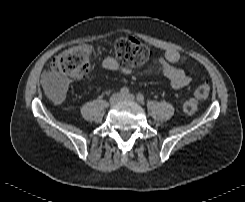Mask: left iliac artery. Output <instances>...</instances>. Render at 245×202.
I'll return each instance as SVG.
<instances>
[{
    "mask_svg": "<svg viewBox=\"0 0 245 202\" xmlns=\"http://www.w3.org/2000/svg\"><path fill=\"white\" fill-rule=\"evenodd\" d=\"M137 100H138L140 103H144V95L141 94V93H138V94H137Z\"/></svg>",
    "mask_w": 245,
    "mask_h": 202,
    "instance_id": "44dca946",
    "label": "left iliac artery"
}]
</instances>
